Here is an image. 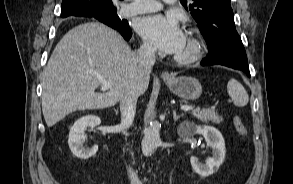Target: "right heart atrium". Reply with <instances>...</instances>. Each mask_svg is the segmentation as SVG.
<instances>
[{
    "instance_id": "right-heart-atrium-1",
    "label": "right heart atrium",
    "mask_w": 293,
    "mask_h": 184,
    "mask_svg": "<svg viewBox=\"0 0 293 184\" xmlns=\"http://www.w3.org/2000/svg\"><path fill=\"white\" fill-rule=\"evenodd\" d=\"M142 50L145 52V53H147V54H153V52H154V49H153V47L150 45V44H148V43H143V45H142Z\"/></svg>"
}]
</instances>
